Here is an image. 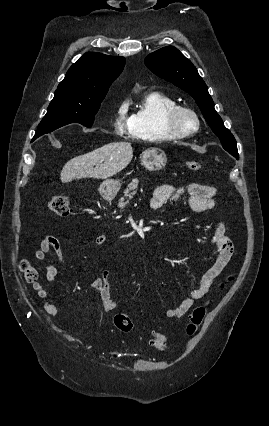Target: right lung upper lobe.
Wrapping results in <instances>:
<instances>
[{
    "label": "right lung upper lobe",
    "mask_w": 269,
    "mask_h": 426,
    "mask_svg": "<svg viewBox=\"0 0 269 426\" xmlns=\"http://www.w3.org/2000/svg\"><path fill=\"white\" fill-rule=\"evenodd\" d=\"M125 65L124 57L97 52L85 53L68 70L55 95L92 99L105 96Z\"/></svg>",
    "instance_id": "1"
}]
</instances>
